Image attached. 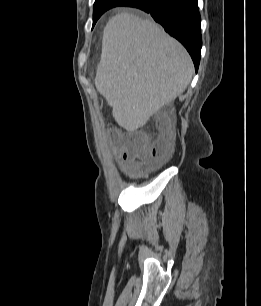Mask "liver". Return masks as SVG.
Returning <instances> with one entry per match:
<instances>
[{
  "mask_svg": "<svg viewBox=\"0 0 261 306\" xmlns=\"http://www.w3.org/2000/svg\"><path fill=\"white\" fill-rule=\"evenodd\" d=\"M193 62L156 23L121 13L106 24L95 86L129 132L171 103L189 85Z\"/></svg>",
  "mask_w": 261,
  "mask_h": 306,
  "instance_id": "obj_1",
  "label": "liver"
}]
</instances>
